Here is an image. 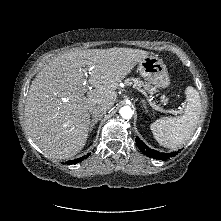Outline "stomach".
Listing matches in <instances>:
<instances>
[{
	"label": "stomach",
	"mask_w": 221,
	"mask_h": 221,
	"mask_svg": "<svg viewBox=\"0 0 221 221\" xmlns=\"http://www.w3.org/2000/svg\"><path fill=\"white\" fill-rule=\"evenodd\" d=\"M138 71L142 77L156 88H166L170 79L163 60L156 56H147L138 64Z\"/></svg>",
	"instance_id": "stomach-1"
}]
</instances>
